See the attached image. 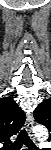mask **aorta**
I'll use <instances>...</instances> for the list:
<instances>
[{"label": "aorta", "mask_w": 51, "mask_h": 150, "mask_svg": "<svg viewBox=\"0 0 51 150\" xmlns=\"http://www.w3.org/2000/svg\"><path fill=\"white\" fill-rule=\"evenodd\" d=\"M33 132L35 134V137L38 138L39 141H43L48 138V131L43 125L35 126Z\"/></svg>", "instance_id": "1"}]
</instances>
